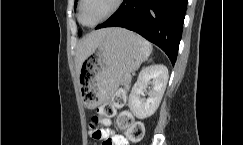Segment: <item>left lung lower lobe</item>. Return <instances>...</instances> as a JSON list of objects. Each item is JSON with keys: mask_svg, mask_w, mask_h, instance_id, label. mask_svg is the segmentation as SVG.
<instances>
[{"mask_svg": "<svg viewBox=\"0 0 243 145\" xmlns=\"http://www.w3.org/2000/svg\"><path fill=\"white\" fill-rule=\"evenodd\" d=\"M186 7L187 0H124L96 29L117 26L137 32L159 46L174 65Z\"/></svg>", "mask_w": 243, "mask_h": 145, "instance_id": "left-lung-lower-lobe-1", "label": "left lung lower lobe"}]
</instances>
